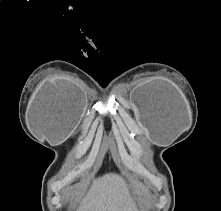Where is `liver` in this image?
Segmentation results:
<instances>
[{"instance_id": "6515ba94", "label": "liver", "mask_w": 221, "mask_h": 211, "mask_svg": "<svg viewBox=\"0 0 221 211\" xmlns=\"http://www.w3.org/2000/svg\"><path fill=\"white\" fill-rule=\"evenodd\" d=\"M134 193L143 195L147 190L138 181H132ZM82 186V184H80ZM78 211H138L124 179L114 173L94 180L83 196Z\"/></svg>"}]
</instances>
